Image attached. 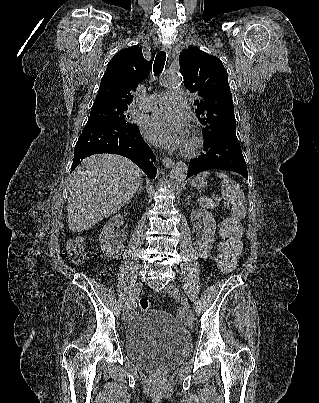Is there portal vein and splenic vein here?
<instances>
[{"label": "portal vein and splenic vein", "mask_w": 319, "mask_h": 403, "mask_svg": "<svg viewBox=\"0 0 319 403\" xmlns=\"http://www.w3.org/2000/svg\"><path fill=\"white\" fill-rule=\"evenodd\" d=\"M213 197L215 198V200L217 201V202H220V198H218L217 196H215V195H213Z\"/></svg>", "instance_id": "portal-vein-and-splenic-vein-1"}]
</instances>
